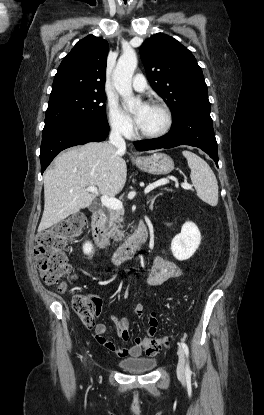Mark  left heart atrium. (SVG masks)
Listing matches in <instances>:
<instances>
[{"instance_id": "obj_1", "label": "left heart atrium", "mask_w": 264, "mask_h": 415, "mask_svg": "<svg viewBox=\"0 0 264 415\" xmlns=\"http://www.w3.org/2000/svg\"><path fill=\"white\" fill-rule=\"evenodd\" d=\"M148 105L147 104H144L142 107H141V109H140V111L138 112V113H136L135 114V116H134V118H135V121H136V123L137 124H139V122H140V120H141V118H142V115L144 114V112L148 109Z\"/></svg>"}]
</instances>
